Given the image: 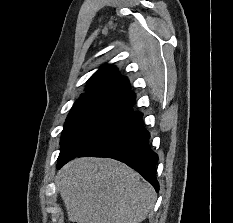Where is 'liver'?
<instances>
[{
	"mask_svg": "<svg viewBox=\"0 0 233 223\" xmlns=\"http://www.w3.org/2000/svg\"><path fill=\"white\" fill-rule=\"evenodd\" d=\"M56 185L76 223H140L156 191L137 171L109 157H75L59 169Z\"/></svg>",
	"mask_w": 233,
	"mask_h": 223,
	"instance_id": "liver-1",
	"label": "liver"
}]
</instances>
